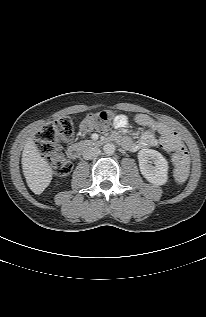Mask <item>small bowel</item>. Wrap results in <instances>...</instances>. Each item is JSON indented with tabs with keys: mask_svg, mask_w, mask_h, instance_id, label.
<instances>
[{
	"mask_svg": "<svg viewBox=\"0 0 206 317\" xmlns=\"http://www.w3.org/2000/svg\"><path fill=\"white\" fill-rule=\"evenodd\" d=\"M134 119L138 125L146 127L147 130L142 134L141 138L137 142H133L129 137L122 138V145L129 150L136 151L140 148L154 147L158 144L156 134L161 136L162 141L164 137L174 133L167 125L153 119L147 114H137ZM113 125L117 129H123L127 127V116H116Z\"/></svg>",
	"mask_w": 206,
	"mask_h": 317,
	"instance_id": "obj_1",
	"label": "small bowel"
}]
</instances>
